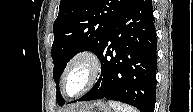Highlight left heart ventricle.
<instances>
[{
    "label": "left heart ventricle",
    "instance_id": "b2bd125f",
    "mask_svg": "<svg viewBox=\"0 0 193 112\" xmlns=\"http://www.w3.org/2000/svg\"><path fill=\"white\" fill-rule=\"evenodd\" d=\"M89 76L88 66L84 63H77L73 66L67 76V92L71 95L78 93L86 84Z\"/></svg>",
    "mask_w": 193,
    "mask_h": 112
}]
</instances>
